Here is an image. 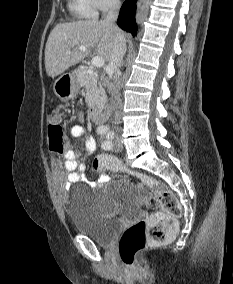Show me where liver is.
<instances>
[{
	"label": "liver",
	"instance_id": "liver-1",
	"mask_svg": "<svg viewBox=\"0 0 233 284\" xmlns=\"http://www.w3.org/2000/svg\"><path fill=\"white\" fill-rule=\"evenodd\" d=\"M119 32L124 35L118 27L105 21L85 20L57 24L45 47L48 76L54 78L62 74L88 56L93 49L104 61H110ZM80 45L86 46L87 50L77 49Z\"/></svg>",
	"mask_w": 233,
	"mask_h": 284
}]
</instances>
